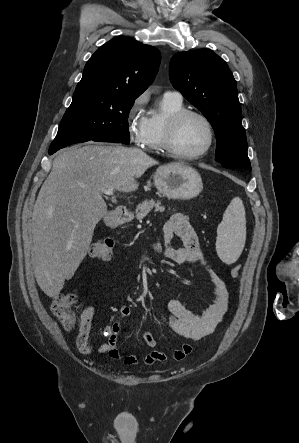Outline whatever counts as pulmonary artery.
<instances>
[{"label":"pulmonary artery","mask_w":299,"mask_h":443,"mask_svg":"<svg viewBox=\"0 0 299 443\" xmlns=\"http://www.w3.org/2000/svg\"><path fill=\"white\" fill-rule=\"evenodd\" d=\"M164 96L169 97L171 99L182 101V95L178 91H167L165 92Z\"/></svg>","instance_id":"e3ab8cb5"}]
</instances>
